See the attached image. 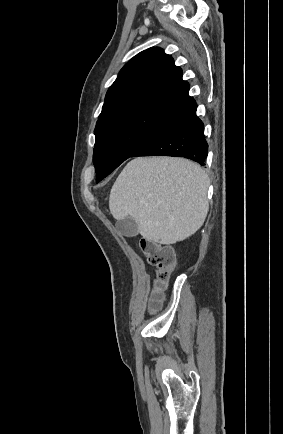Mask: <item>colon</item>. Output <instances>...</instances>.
I'll use <instances>...</instances> for the list:
<instances>
[{"instance_id": "1", "label": "colon", "mask_w": 283, "mask_h": 434, "mask_svg": "<svg viewBox=\"0 0 283 434\" xmlns=\"http://www.w3.org/2000/svg\"><path fill=\"white\" fill-rule=\"evenodd\" d=\"M140 245L149 264L155 268L153 292L149 307L151 310H156L161 302L162 292L176 267L177 257L170 247L163 244L142 240Z\"/></svg>"}]
</instances>
